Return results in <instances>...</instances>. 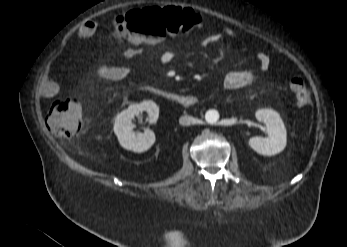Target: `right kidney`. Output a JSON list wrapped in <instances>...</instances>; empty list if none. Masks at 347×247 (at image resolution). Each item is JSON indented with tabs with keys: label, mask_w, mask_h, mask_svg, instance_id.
<instances>
[{
	"label": "right kidney",
	"mask_w": 347,
	"mask_h": 247,
	"mask_svg": "<svg viewBox=\"0 0 347 247\" xmlns=\"http://www.w3.org/2000/svg\"><path fill=\"white\" fill-rule=\"evenodd\" d=\"M143 111L149 115V121L154 123L159 116V107L151 100L139 104H132L128 109L119 113L115 118L114 133L120 145L133 152L147 151L155 142V134L147 129L144 133L135 134L133 131L132 119Z\"/></svg>",
	"instance_id": "ca27d5eb"
}]
</instances>
